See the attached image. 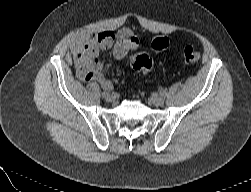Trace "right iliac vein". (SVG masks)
Here are the masks:
<instances>
[{
    "label": "right iliac vein",
    "instance_id": "right-iliac-vein-1",
    "mask_svg": "<svg viewBox=\"0 0 251 192\" xmlns=\"http://www.w3.org/2000/svg\"><path fill=\"white\" fill-rule=\"evenodd\" d=\"M106 100H107L108 102H113V101H115V96L112 95V94H108V95L106 96Z\"/></svg>",
    "mask_w": 251,
    "mask_h": 192
}]
</instances>
